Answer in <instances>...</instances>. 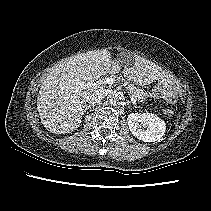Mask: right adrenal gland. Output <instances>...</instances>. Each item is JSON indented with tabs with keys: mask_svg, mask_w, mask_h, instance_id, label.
I'll return each mask as SVG.
<instances>
[{
	"mask_svg": "<svg viewBox=\"0 0 211 211\" xmlns=\"http://www.w3.org/2000/svg\"><path fill=\"white\" fill-rule=\"evenodd\" d=\"M92 106L94 107L95 105L94 104H89V105L85 104L84 113H86V111L88 109H90Z\"/></svg>",
	"mask_w": 211,
	"mask_h": 211,
	"instance_id": "2a0ac1e0",
	"label": "right adrenal gland"
}]
</instances>
